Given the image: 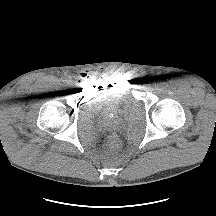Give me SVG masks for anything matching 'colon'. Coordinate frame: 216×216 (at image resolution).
Listing matches in <instances>:
<instances>
[{
  "label": "colon",
  "mask_w": 216,
  "mask_h": 216,
  "mask_svg": "<svg viewBox=\"0 0 216 216\" xmlns=\"http://www.w3.org/2000/svg\"><path fill=\"white\" fill-rule=\"evenodd\" d=\"M120 145V139L115 133H109L104 139V146L106 148L115 149Z\"/></svg>",
  "instance_id": "1"
}]
</instances>
